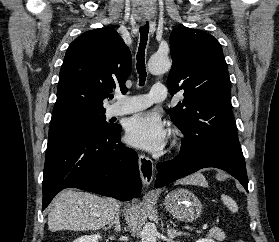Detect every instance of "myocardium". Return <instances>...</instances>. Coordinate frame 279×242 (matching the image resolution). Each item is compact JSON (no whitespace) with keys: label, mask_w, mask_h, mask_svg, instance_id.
<instances>
[{"label":"myocardium","mask_w":279,"mask_h":242,"mask_svg":"<svg viewBox=\"0 0 279 242\" xmlns=\"http://www.w3.org/2000/svg\"><path fill=\"white\" fill-rule=\"evenodd\" d=\"M180 145V133L176 132L173 139V146H179Z\"/></svg>","instance_id":"f54148a6"}]
</instances>
